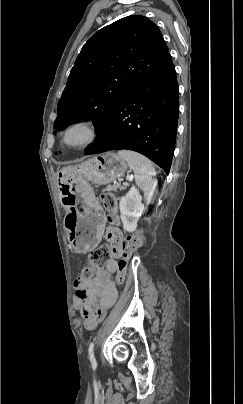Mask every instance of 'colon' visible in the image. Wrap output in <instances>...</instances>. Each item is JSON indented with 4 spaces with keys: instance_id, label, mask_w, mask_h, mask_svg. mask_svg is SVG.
<instances>
[{
    "instance_id": "5ec220e1",
    "label": "colon",
    "mask_w": 243,
    "mask_h": 404,
    "mask_svg": "<svg viewBox=\"0 0 243 404\" xmlns=\"http://www.w3.org/2000/svg\"><path fill=\"white\" fill-rule=\"evenodd\" d=\"M102 202L105 208L109 211L108 220L110 223L117 222V201L116 198L110 193H104ZM143 236L137 232L127 236L121 244V259L118 264L117 282L122 284L126 279L127 265L133 254L142 246ZM110 260V249L108 245H101L89 255L88 264L82 270L81 279L89 280L93 278L97 270ZM105 314H99L97 317L98 322H101Z\"/></svg>"
}]
</instances>
